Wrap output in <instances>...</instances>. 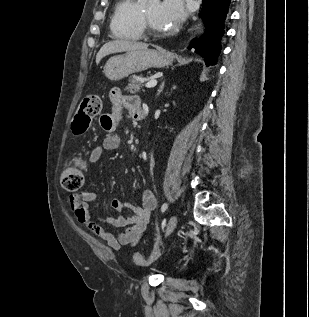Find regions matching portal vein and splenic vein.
Returning a JSON list of instances; mask_svg holds the SVG:
<instances>
[{
  "mask_svg": "<svg viewBox=\"0 0 309 317\" xmlns=\"http://www.w3.org/2000/svg\"><path fill=\"white\" fill-rule=\"evenodd\" d=\"M157 85V80L155 79H152V80H149L146 84H145V87L147 88H153Z\"/></svg>",
  "mask_w": 309,
  "mask_h": 317,
  "instance_id": "18ae733b",
  "label": "portal vein and splenic vein"
}]
</instances>
